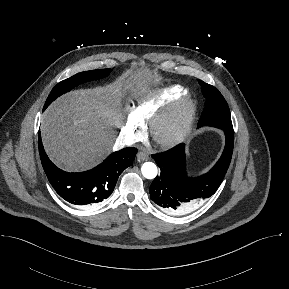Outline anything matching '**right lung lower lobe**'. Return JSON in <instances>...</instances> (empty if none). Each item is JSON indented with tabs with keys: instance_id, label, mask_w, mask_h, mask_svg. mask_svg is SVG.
Wrapping results in <instances>:
<instances>
[{
	"instance_id": "obj_1",
	"label": "right lung lower lobe",
	"mask_w": 289,
	"mask_h": 289,
	"mask_svg": "<svg viewBox=\"0 0 289 289\" xmlns=\"http://www.w3.org/2000/svg\"><path fill=\"white\" fill-rule=\"evenodd\" d=\"M39 153L44 171L55 191L74 205H94L107 199L120 174L133 164L137 149L124 148L112 153L103 163L82 173H68L56 167L46 155L41 136Z\"/></svg>"
}]
</instances>
